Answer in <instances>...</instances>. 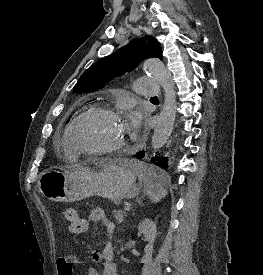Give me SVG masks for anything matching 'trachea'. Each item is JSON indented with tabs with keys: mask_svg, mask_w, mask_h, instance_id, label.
Masks as SVG:
<instances>
[{
	"mask_svg": "<svg viewBox=\"0 0 263 275\" xmlns=\"http://www.w3.org/2000/svg\"><path fill=\"white\" fill-rule=\"evenodd\" d=\"M152 99H158V97L155 96V97H152Z\"/></svg>",
	"mask_w": 263,
	"mask_h": 275,
	"instance_id": "obj_1",
	"label": "trachea"
}]
</instances>
